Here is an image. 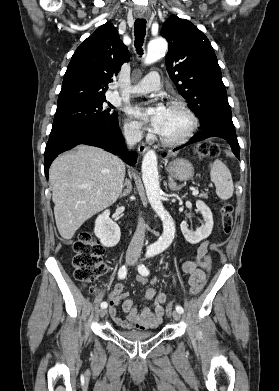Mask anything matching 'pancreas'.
Wrapping results in <instances>:
<instances>
[{"label":"pancreas","mask_w":279,"mask_h":391,"mask_svg":"<svg viewBox=\"0 0 279 391\" xmlns=\"http://www.w3.org/2000/svg\"><path fill=\"white\" fill-rule=\"evenodd\" d=\"M199 197H202V198H208V196H207V194H206V193H201V194L199 195Z\"/></svg>","instance_id":"1"}]
</instances>
